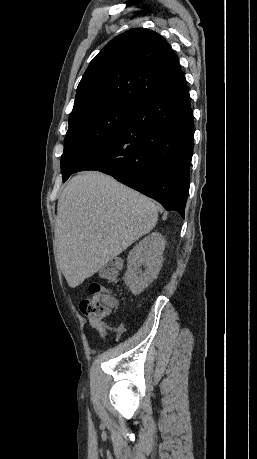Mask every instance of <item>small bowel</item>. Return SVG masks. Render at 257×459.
<instances>
[{
  "label": "small bowel",
  "mask_w": 257,
  "mask_h": 459,
  "mask_svg": "<svg viewBox=\"0 0 257 459\" xmlns=\"http://www.w3.org/2000/svg\"><path fill=\"white\" fill-rule=\"evenodd\" d=\"M87 322L91 327H93L94 329L97 330V332L99 333V335H100V337L102 339L105 338V334H106L105 333V324H104V322L102 320H97V319H95L93 317H89L87 319Z\"/></svg>",
  "instance_id": "1"
}]
</instances>
